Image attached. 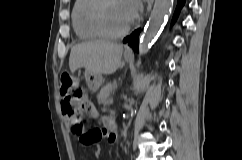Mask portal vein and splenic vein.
<instances>
[{
  "instance_id": "18ae733b",
  "label": "portal vein and splenic vein",
  "mask_w": 242,
  "mask_h": 160,
  "mask_svg": "<svg viewBox=\"0 0 242 160\" xmlns=\"http://www.w3.org/2000/svg\"><path fill=\"white\" fill-rule=\"evenodd\" d=\"M108 105H111L113 104V99H110L108 102H107Z\"/></svg>"
}]
</instances>
